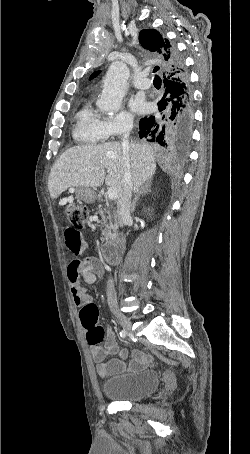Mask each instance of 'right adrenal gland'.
Instances as JSON below:
<instances>
[{
	"mask_svg": "<svg viewBox=\"0 0 250 454\" xmlns=\"http://www.w3.org/2000/svg\"><path fill=\"white\" fill-rule=\"evenodd\" d=\"M151 192V181L145 182L136 192L134 200L132 202L131 206V212L133 213L135 211V206L137 201L142 197L143 195Z\"/></svg>",
	"mask_w": 250,
	"mask_h": 454,
	"instance_id": "right-adrenal-gland-1",
	"label": "right adrenal gland"
}]
</instances>
